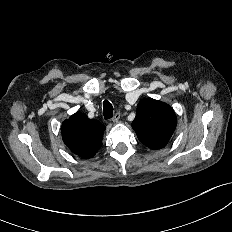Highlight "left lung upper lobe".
I'll list each match as a JSON object with an SVG mask.
<instances>
[{"mask_svg":"<svg viewBox=\"0 0 232 232\" xmlns=\"http://www.w3.org/2000/svg\"><path fill=\"white\" fill-rule=\"evenodd\" d=\"M176 122V114L168 104L148 98L139 102L132 127L141 143L156 150L167 145Z\"/></svg>","mask_w":232,"mask_h":232,"instance_id":"left-lung-upper-lobe-1","label":"left lung upper lobe"}]
</instances>
